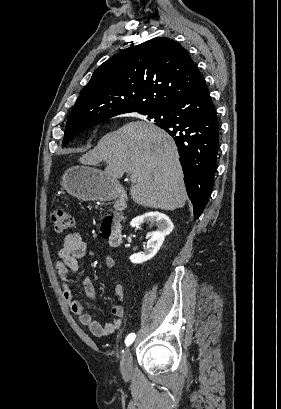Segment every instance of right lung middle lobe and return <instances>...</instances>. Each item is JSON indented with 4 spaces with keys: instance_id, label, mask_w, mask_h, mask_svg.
Returning a JSON list of instances; mask_svg holds the SVG:
<instances>
[{
    "instance_id": "1",
    "label": "right lung middle lobe",
    "mask_w": 281,
    "mask_h": 409,
    "mask_svg": "<svg viewBox=\"0 0 281 409\" xmlns=\"http://www.w3.org/2000/svg\"><path fill=\"white\" fill-rule=\"evenodd\" d=\"M138 113H140L142 115H147L148 118H153L152 112H138ZM109 118H111V117H109ZM104 120H106V119H104ZM104 120H102V121H104ZM102 121H99L97 123H94V124H91V125H88V126L68 127V128H66L62 145L64 146V145L68 144L77 134L81 133L82 131H84V130H86L88 128H91V127L95 126L96 124H98V123H100ZM157 121L158 120H155V122H157Z\"/></svg>"
}]
</instances>
